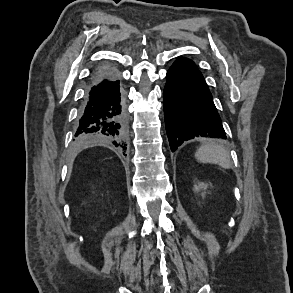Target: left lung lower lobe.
Masks as SVG:
<instances>
[{
  "label": "left lung lower lobe",
  "mask_w": 293,
  "mask_h": 293,
  "mask_svg": "<svg viewBox=\"0 0 293 293\" xmlns=\"http://www.w3.org/2000/svg\"><path fill=\"white\" fill-rule=\"evenodd\" d=\"M166 78L164 116L171 151L194 137L226 139L212 95L194 62L177 58Z\"/></svg>",
  "instance_id": "1"
}]
</instances>
